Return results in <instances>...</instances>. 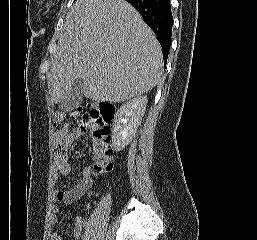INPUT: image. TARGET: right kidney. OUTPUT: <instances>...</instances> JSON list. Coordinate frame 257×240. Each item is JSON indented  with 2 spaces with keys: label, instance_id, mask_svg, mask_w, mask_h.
<instances>
[{
  "label": "right kidney",
  "instance_id": "obj_1",
  "mask_svg": "<svg viewBox=\"0 0 257 240\" xmlns=\"http://www.w3.org/2000/svg\"><path fill=\"white\" fill-rule=\"evenodd\" d=\"M146 96H138L116 112L112 130V146L115 151L123 150L135 136L147 105Z\"/></svg>",
  "mask_w": 257,
  "mask_h": 240
}]
</instances>
